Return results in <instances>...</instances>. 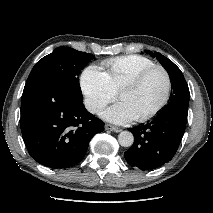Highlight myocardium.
Segmentation results:
<instances>
[{"label":"myocardium","mask_w":213,"mask_h":213,"mask_svg":"<svg viewBox=\"0 0 213 213\" xmlns=\"http://www.w3.org/2000/svg\"><path fill=\"white\" fill-rule=\"evenodd\" d=\"M155 71H160L165 76V79H166L165 94L158 105H156L149 112H147L139 117H135L134 118L135 121L144 122V121L151 119L152 117L157 115L164 108V106L168 103L169 98L171 96V91H172V79H171L170 73L164 67L155 65V66L146 68V69L140 71L139 73H137L135 76H133L131 79H129L126 83H124L118 90V97L120 98V95L124 91L138 86L149 74H151L152 72H155Z\"/></svg>","instance_id":"obj_1"}]
</instances>
